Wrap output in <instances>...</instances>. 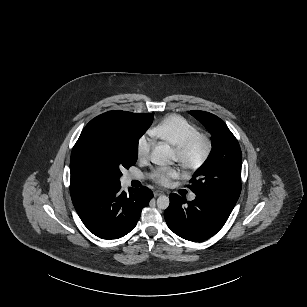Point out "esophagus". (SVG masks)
Instances as JSON below:
<instances>
[{"mask_svg":"<svg viewBox=\"0 0 307 307\" xmlns=\"http://www.w3.org/2000/svg\"><path fill=\"white\" fill-rule=\"evenodd\" d=\"M163 194H164L163 191H160V190H155V191H154V196H155V197L162 196Z\"/></svg>","mask_w":307,"mask_h":307,"instance_id":"obj_1","label":"esophagus"}]
</instances>
